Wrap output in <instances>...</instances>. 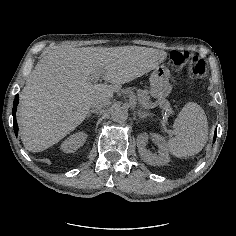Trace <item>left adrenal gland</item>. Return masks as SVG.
I'll use <instances>...</instances> for the list:
<instances>
[{
    "mask_svg": "<svg viewBox=\"0 0 236 236\" xmlns=\"http://www.w3.org/2000/svg\"><path fill=\"white\" fill-rule=\"evenodd\" d=\"M138 116L140 119H146L147 117H154V114L149 113L147 111L143 112V111H141V109H139Z\"/></svg>",
    "mask_w": 236,
    "mask_h": 236,
    "instance_id": "a2214340",
    "label": "left adrenal gland"
}]
</instances>
